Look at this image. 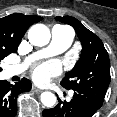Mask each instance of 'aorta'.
I'll list each match as a JSON object with an SVG mask.
<instances>
[{"mask_svg": "<svg viewBox=\"0 0 117 117\" xmlns=\"http://www.w3.org/2000/svg\"><path fill=\"white\" fill-rule=\"evenodd\" d=\"M50 38V30L44 24H35L28 31V39L35 46L47 45ZM40 100L44 106L51 108L55 105L57 98L52 92L45 91L41 94Z\"/></svg>", "mask_w": 117, "mask_h": 117, "instance_id": "762f6f07", "label": "aorta"}]
</instances>
